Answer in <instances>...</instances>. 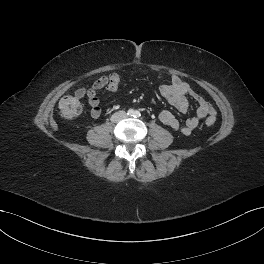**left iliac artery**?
Wrapping results in <instances>:
<instances>
[{"label":"left iliac artery","instance_id":"obj_1","mask_svg":"<svg viewBox=\"0 0 264 264\" xmlns=\"http://www.w3.org/2000/svg\"><path fill=\"white\" fill-rule=\"evenodd\" d=\"M140 116H141V114H140V112H139V111H135V112H134V117H136V118H137V117H140Z\"/></svg>","mask_w":264,"mask_h":264}]
</instances>
